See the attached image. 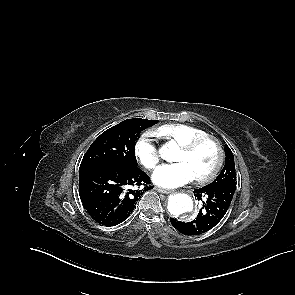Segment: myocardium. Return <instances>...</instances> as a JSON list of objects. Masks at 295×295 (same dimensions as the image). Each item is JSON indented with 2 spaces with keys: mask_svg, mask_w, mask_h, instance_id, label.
I'll use <instances>...</instances> for the list:
<instances>
[{
  "mask_svg": "<svg viewBox=\"0 0 295 295\" xmlns=\"http://www.w3.org/2000/svg\"><path fill=\"white\" fill-rule=\"evenodd\" d=\"M212 142L216 146L217 152H218V158L217 162L214 166V168L206 175L200 176L195 178L197 182L199 183H207L213 180L218 173L220 172L223 163H224V150L221 142L214 136L211 135H205L202 137H198L189 143L181 146V150L185 151L186 153H192L194 152L200 145H202L205 142Z\"/></svg>",
  "mask_w": 295,
  "mask_h": 295,
  "instance_id": "obj_1",
  "label": "myocardium"
}]
</instances>
